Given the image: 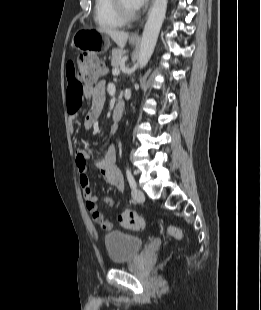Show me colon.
<instances>
[{"label": "colon", "instance_id": "5ec220e1", "mask_svg": "<svg viewBox=\"0 0 261 310\" xmlns=\"http://www.w3.org/2000/svg\"><path fill=\"white\" fill-rule=\"evenodd\" d=\"M75 63L78 69V78L76 81L80 85H83L84 83H94L96 79L105 71L104 64L96 57L89 54L78 55ZM118 219L123 227L130 229L141 230L146 226L144 217L130 210L123 211L119 215ZM167 232L174 239L179 240L182 237V232L177 226H169Z\"/></svg>", "mask_w": 261, "mask_h": 310}]
</instances>
